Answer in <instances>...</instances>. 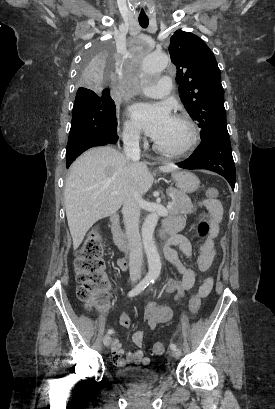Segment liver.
<instances>
[{
    "label": "liver",
    "mask_w": 275,
    "mask_h": 409,
    "mask_svg": "<svg viewBox=\"0 0 275 409\" xmlns=\"http://www.w3.org/2000/svg\"><path fill=\"white\" fill-rule=\"evenodd\" d=\"M147 164L138 158L127 160L125 154L113 146L90 148L76 158L64 190L74 251L96 221L119 211L131 186H136L139 194L151 188L154 176ZM159 168L170 172L178 166L165 164ZM114 190H118V194H111Z\"/></svg>",
    "instance_id": "obj_1"
}]
</instances>
